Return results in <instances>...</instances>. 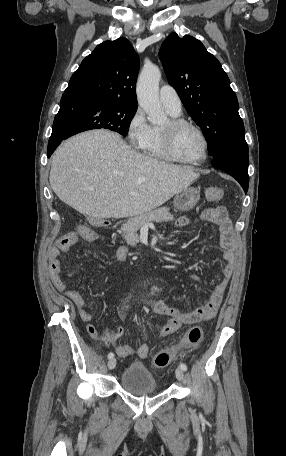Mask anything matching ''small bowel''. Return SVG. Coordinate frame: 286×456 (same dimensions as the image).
Instances as JSON below:
<instances>
[{
  "label": "small bowel",
  "instance_id": "c3829d8e",
  "mask_svg": "<svg viewBox=\"0 0 286 456\" xmlns=\"http://www.w3.org/2000/svg\"><path fill=\"white\" fill-rule=\"evenodd\" d=\"M200 218L205 221L217 223L221 229V246L224 249V260L226 265L222 270L223 278L215 285L209 300L201 307L195 310H185L179 307L171 306L162 300L154 302V312L169 318L168 322L160 332L161 337H166L174 333L183 324H193L205 322L212 319L221 304L223 295L228 286V283L234 273L236 262L235 257V238L231 220L227 210L223 206L208 208L202 211ZM190 222V217L183 216L177 220L179 227H184ZM81 237L88 241L94 242L98 239V234L91 229V234L82 235ZM78 240V235L75 232L68 233L61 237L57 243V247L50 251V278L56 289L63 292L65 296L76 306L79 315L84 322H89L92 319V314L87 309L85 300L80 292L68 289L60 276V257L63 252L69 250ZM115 258L119 261H126L129 257V250L125 246H119L115 250ZM193 280H198V277L193 275ZM89 335L94 339H99L105 343H115L123 335L122 327L104 328L101 332L97 328L89 324L87 326ZM149 348V347H148ZM116 352L121 357H129L133 354V348L129 345H118Z\"/></svg>",
  "mask_w": 286,
  "mask_h": 456
}]
</instances>
